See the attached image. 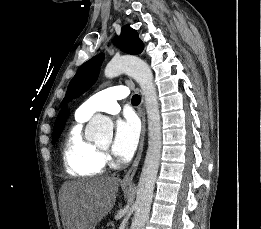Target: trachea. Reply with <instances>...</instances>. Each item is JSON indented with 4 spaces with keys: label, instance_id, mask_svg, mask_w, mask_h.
Returning <instances> with one entry per match:
<instances>
[{
    "label": "trachea",
    "instance_id": "1",
    "mask_svg": "<svg viewBox=\"0 0 261 229\" xmlns=\"http://www.w3.org/2000/svg\"><path fill=\"white\" fill-rule=\"evenodd\" d=\"M131 101L133 105H139L141 102V98L139 95H133Z\"/></svg>",
    "mask_w": 261,
    "mask_h": 229
}]
</instances>
